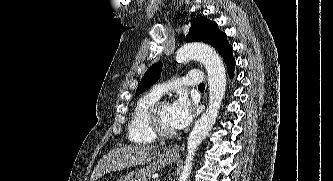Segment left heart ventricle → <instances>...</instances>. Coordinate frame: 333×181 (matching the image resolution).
Segmentation results:
<instances>
[{
  "instance_id": "obj_1",
  "label": "left heart ventricle",
  "mask_w": 333,
  "mask_h": 181,
  "mask_svg": "<svg viewBox=\"0 0 333 181\" xmlns=\"http://www.w3.org/2000/svg\"><path fill=\"white\" fill-rule=\"evenodd\" d=\"M160 121L165 129L167 130L175 129L171 122V104H168L163 107L160 114Z\"/></svg>"
}]
</instances>
